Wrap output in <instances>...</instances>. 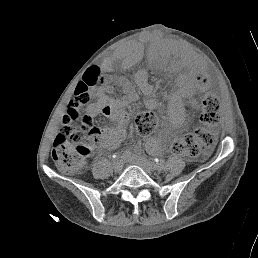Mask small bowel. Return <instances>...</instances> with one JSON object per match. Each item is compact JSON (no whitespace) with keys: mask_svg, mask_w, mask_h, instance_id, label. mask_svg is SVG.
<instances>
[{"mask_svg":"<svg viewBox=\"0 0 258 258\" xmlns=\"http://www.w3.org/2000/svg\"><path fill=\"white\" fill-rule=\"evenodd\" d=\"M141 49L138 46H133L130 53L125 55L122 60V64L130 66L134 64L141 56ZM111 64H107V67H110ZM197 69L192 68L191 74H195ZM95 95L97 97V103L87 108L86 118L90 119L97 115L105 116L109 119H112L116 123L110 126H107L102 129L100 135V145L97 149L98 154H103L106 151H110L118 147L121 139L125 135V128L115 119V113L113 107L109 104L108 99L105 97L103 89L99 88L95 90ZM149 146L153 151H157L160 146L154 140L149 142Z\"/></svg>","mask_w":258,"mask_h":258,"instance_id":"c3829d8e","label":"small bowel"}]
</instances>
